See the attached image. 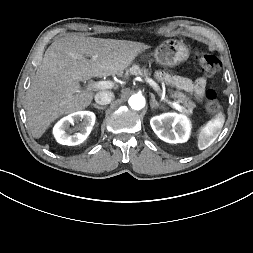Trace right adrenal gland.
Instances as JSON below:
<instances>
[{
	"instance_id": "obj_1",
	"label": "right adrenal gland",
	"mask_w": 253,
	"mask_h": 253,
	"mask_svg": "<svg viewBox=\"0 0 253 253\" xmlns=\"http://www.w3.org/2000/svg\"><path fill=\"white\" fill-rule=\"evenodd\" d=\"M91 105L94 106L96 109L104 110L106 108L105 106H99V105H97L95 103H92Z\"/></svg>"
}]
</instances>
